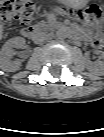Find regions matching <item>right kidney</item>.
<instances>
[{
    "mask_svg": "<svg viewBox=\"0 0 104 137\" xmlns=\"http://www.w3.org/2000/svg\"><path fill=\"white\" fill-rule=\"evenodd\" d=\"M23 37H14L9 39L0 50V68L5 72H15L19 70L21 63L18 59L12 60L15 55L14 48H23L25 46Z\"/></svg>",
    "mask_w": 104,
    "mask_h": 137,
    "instance_id": "ca27d5eb",
    "label": "right kidney"
}]
</instances>
